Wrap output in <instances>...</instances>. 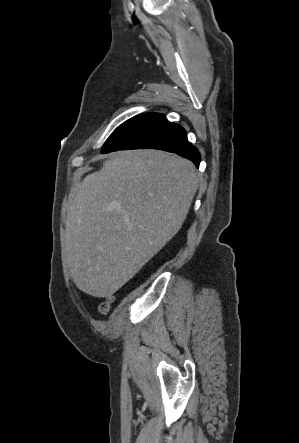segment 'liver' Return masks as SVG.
Instances as JSON below:
<instances>
[{"label":"liver","instance_id":"6515ba94","mask_svg":"<svg viewBox=\"0 0 299 443\" xmlns=\"http://www.w3.org/2000/svg\"><path fill=\"white\" fill-rule=\"evenodd\" d=\"M198 188L192 162L158 150L121 151L87 175L66 220V253L79 290L109 297L182 227Z\"/></svg>","mask_w":299,"mask_h":443}]
</instances>
